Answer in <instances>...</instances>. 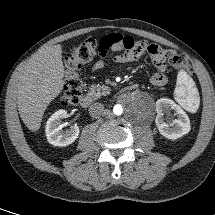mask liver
<instances>
[{
	"mask_svg": "<svg viewBox=\"0 0 215 215\" xmlns=\"http://www.w3.org/2000/svg\"><path fill=\"white\" fill-rule=\"evenodd\" d=\"M63 77L60 44L41 48L15 74L18 111L29 130L40 128L46 108L63 90Z\"/></svg>",
	"mask_w": 215,
	"mask_h": 215,
	"instance_id": "liver-1",
	"label": "liver"
}]
</instances>
